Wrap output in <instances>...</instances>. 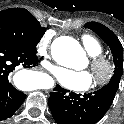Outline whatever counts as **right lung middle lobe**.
<instances>
[{"label": "right lung middle lobe", "instance_id": "obj_1", "mask_svg": "<svg viewBox=\"0 0 124 124\" xmlns=\"http://www.w3.org/2000/svg\"><path fill=\"white\" fill-rule=\"evenodd\" d=\"M37 19L26 9L10 8L0 12V42L36 51L45 33Z\"/></svg>", "mask_w": 124, "mask_h": 124}]
</instances>
